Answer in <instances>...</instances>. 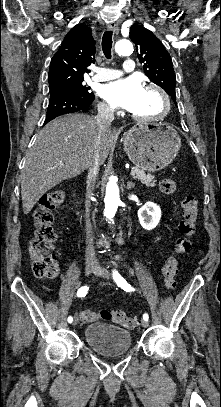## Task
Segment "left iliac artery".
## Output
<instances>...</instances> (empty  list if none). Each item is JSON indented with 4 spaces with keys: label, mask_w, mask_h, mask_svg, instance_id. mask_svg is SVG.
<instances>
[{
    "label": "left iliac artery",
    "mask_w": 221,
    "mask_h": 407,
    "mask_svg": "<svg viewBox=\"0 0 221 407\" xmlns=\"http://www.w3.org/2000/svg\"><path fill=\"white\" fill-rule=\"evenodd\" d=\"M113 278H114L115 282L117 283V285L119 287H121L124 291H127V292L135 291V289L132 288L131 285H129L123 277H121V275L118 273L117 270H113ZM143 319L148 321L149 316L147 313H145L143 315Z\"/></svg>",
    "instance_id": "44dca946"
}]
</instances>
